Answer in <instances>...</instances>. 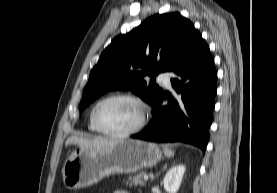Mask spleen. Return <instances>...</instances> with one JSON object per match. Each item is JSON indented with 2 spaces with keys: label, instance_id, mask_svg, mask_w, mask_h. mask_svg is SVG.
Returning a JSON list of instances; mask_svg holds the SVG:
<instances>
[{
  "label": "spleen",
  "instance_id": "3e777b00",
  "mask_svg": "<svg viewBox=\"0 0 277 193\" xmlns=\"http://www.w3.org/2000/svg\"><path fill=\"white\" fill-rule=\"evenodd\" d=\"M163 151H164V154L168 157H173L174 156V151L171 150V149L164 148Z\"/></svg>",
  "mask_w": 277,
  "mask_h": 193
}]
</instances>
